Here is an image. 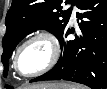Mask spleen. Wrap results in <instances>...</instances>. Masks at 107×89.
I'll use <instances>...</instances> for the list:
<instances>
[{
	"label": "spleen",
	"instance_id": "1",
	"mask_svg": "<svg viewBox=\"0 0 107 89\" xmlns=\"http://www.w3.org/2000/svg\"><path fill=\"white\" fill-rule=\"evenodd\" d=\"M64 89H84L82 85L78 84H63Z\"/></svg>",
	"mask_w": 107,
	"mask_h": 89
}]
</instances>
